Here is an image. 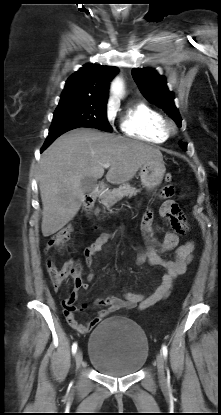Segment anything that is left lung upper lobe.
I'll return each instance as SVG.
<instances>
[{"mask_svg": "<svg viewBox=\"0 0 221 415\" xmlns=\"http://www.w3.org/2000/svg\"><path fill=\"white\" fill-rule=\"evenodd\" d=\"M132 75L144 97L161 107L180 127L182 119L174 104V93L168 90L165 77L152 68H135L132 70ZM179 145L186 150V143Z\"/></svg>", "mask_w": 221, "mask_h": 415, "instance_id": "5c2ea615", "label": "left lung upper lobe"}]
</instances>
